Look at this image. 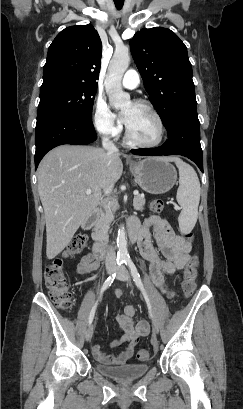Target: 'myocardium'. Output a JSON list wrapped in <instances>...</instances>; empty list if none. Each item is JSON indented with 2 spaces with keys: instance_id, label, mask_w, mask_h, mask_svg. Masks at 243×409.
Here are the masks:
<instances>
[{
  "instance_id": "obj_1",
  "label": "myocardium",
  "mask_w": 243,
  "mask_h": 409,
  "mask_svg": "<svg viewBox=\"0 0 243 409\" xmlns=\"http://www.w3.org/2000/svg\"><path fill=\"white\" fill-rule=\"evenodd\" d=\"M133 104L138 105V106H142L144 108H146L150 114L152 115V117L155 119L157 125H158V130H159V135L158 138L154 141H143L140 139H137L136 137H134L129 129V127L126 125V138L127 140L134 144V145H138V146H143V147H157L159 145H161L165 139V134H166V129H165V125L163 122V119L161 118L160 114L157 112V110L153 107V105L151 103H149L146 100L143 99H137L133 101Z\"/></svg>"
}]
</instances>
